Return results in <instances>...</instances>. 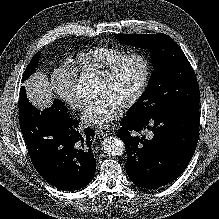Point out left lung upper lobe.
Returning <instances> with one entry per match:
<instances>
[{
	"mask_svg": "<svg viewBox=\"0 0 219 219\" xmlns=\"http://www.w3.org/2000/svg\"><path fill=\"white\" fill-rule=\"evenodd\" d=\"M118 40L151 51L154 64L150 82L127 117H160L199 105V86L195 72L180 46L168 35L116 34Z\"/></svg>",
	"mask_w": 219,
	"mask_h": 219,
	"instance_id": "1",
	"label": "left lung upper lobe"
}]
</instances>
